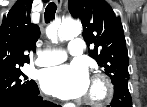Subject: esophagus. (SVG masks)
Returning <instances> with one entry per match:
<instances>
[{"mask_svg":"<svg viewBox=\"0 0 147 107\" xmlns=\"http://www.w3.org/2000/svg\"><path fill=\"white\" fill-rule=\"evenodd\" d=\"M55 3L57 5L58 9H60L62 6V0H55Z\"/></svg>","mask_w":147,"mask_h":107,"instance_id":"esophagus-1","label":"esophagus"}]
</instances>
